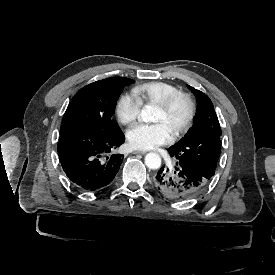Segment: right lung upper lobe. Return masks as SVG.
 I'll list each match as a JSON object with an SVG mask.
<instances>
[{
  "label": "right lung upper lobe",
  "mask_w": 275,
  "mask_h": 275,
  "mask_svg": "<svg viewBox=\"0 0 275 275\" xmlns=\"http://www.w3.org/2000/svg\"><path fill=\"white\" fill-rule=\"evenodd\" d=\"M108 79H110V78H108ZM111 79H119V80H126V79H128V78H124V77H111Z\"/></svg>",
  "instance_id": "cb5924a9"
}]
</instances>
